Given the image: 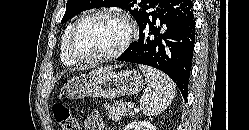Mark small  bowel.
Segmentation results:
<instances>
[{"label": "small bowel", "mask_w": 249, "mask_h": 130, "mask_svg": "<svg viewBox=\"0 0 249 130\" xmlns=\"http://www.w3.org/2000/svg\"><path fill=\"white\" fill-rule=\"evenodd\" d=\"M105 122L97 110H93L85 119L84 130H104Z\"/></svg>", "instance_id": "1"}]
</instances>
